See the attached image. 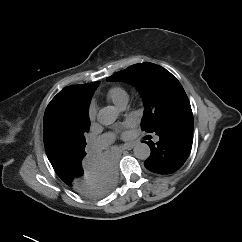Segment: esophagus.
Wrapping results in <instances>:
<instances>
[{"label":"esophagus","mask_w":242,"mask_h":242,"mask_svg":"<svg viewBox=\"0 0 242 242\" xmlns=\"http://www.w3.org/2000/svg\"><path fill=\"white\" fill-rule=\"evenodd\" d=\"M134 143H126L122 146L123 150H131L134 147Z\"/></svg>","instance_id":"esophagus-1"}]
</instances>
